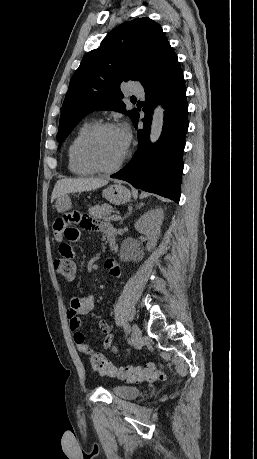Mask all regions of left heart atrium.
<instances>
[{"label": "left heart atrium", "mask_w": 257, "mask_h": 459, "mask_svg": "<svg viewBox=\"0 0 257 459\" xmlns=\"http://www.w3.org/2000/svg\"><path fill=\"white\" fill-rule=\"evenodd\" d=\"M117 129H118V134L122 142V145L124 146L125 149H127V147L129 146L130 140H131V133H130L129 126L126 123H124Z\"/></svg>", "instance_id": "obj_1"}]
</instances>
